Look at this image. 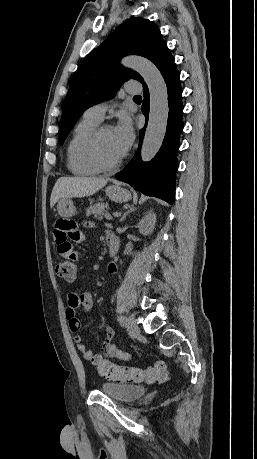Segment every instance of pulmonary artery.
Listing matches in <instances>:
<instances>
[{
    "label": "pulmonary artery",
    "instance_id": "1",
    "mask_svg": "<svg viewBox=\"0 0 257 459\" xmlns=\"http://www.w3.org/2000/svg\"><path fill=\"white\" fill-rule=\"evenodd\" d=\"M131 83H134V82H129V84ZM125 89H126V92L129 94H137L140 91L139 88L133 87L132 85H127ZM106 109H107L106 103H99L87 109V111L85 112V115L97 121H101L103 119Z\"/></svg>",
    "mask_w": 257,
    "mask_h": 459
}]
</instances>
